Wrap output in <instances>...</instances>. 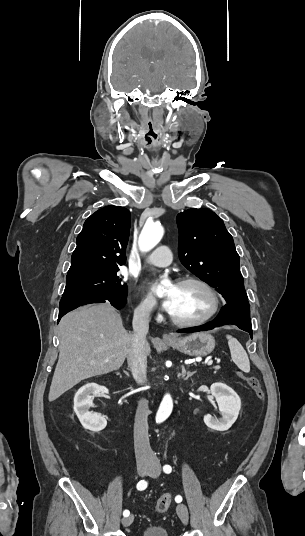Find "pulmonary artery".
<instances>
[{
	"mask_svg": "<svg viewBox=\"0 0 305 536\" xmlns=\"http://www.w3.org/2000/svg\"><path fill=\"white\" fill-rule=\"evenodd\" d=\"M171 250L167 246H158L153 251H151L145 258V262L154 265V266H168L172 262V257H170Z\"/></svg>",
	"mask_w": 305,
	"mask_h": 536,
	"instance_id": "pulmonary-artery-1",
	"label": "pulmonary artery"
}]
</instances>
